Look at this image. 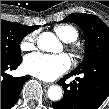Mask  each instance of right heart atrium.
Wrapping results in <instances>:
<instances>
[{"mask_svg":"<svg viewBox=\"0 0 109 109\" xmlns=\"http://www.w3.org/2000/svg\"><path fill=\"white\" fill-rule=\"evenodd\" d=\"M36 38L34 35L29 34L22 39L20 42V49L22 51H30L35 48Z\"/></svg>","mask_w":109,"mask_h":109,"instance_id":"obj_1","label":"right heart atrium"}]
</instances>
